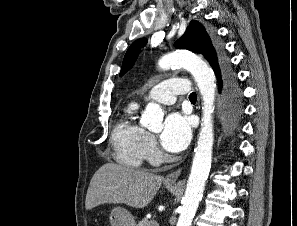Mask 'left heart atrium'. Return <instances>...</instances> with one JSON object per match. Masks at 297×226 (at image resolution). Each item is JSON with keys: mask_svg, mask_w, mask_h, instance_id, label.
I'll return each mask as SVG.
<instances>
[{"mask_svg": "<svg viewBox=\"0 0 297 226\" xmlns=\"http://www.w3.org/2000/svg\"><path fill=\"white\" fill-rule=\"evenodd\" d=\"M161 144L169 152H180L184 150L191 139V127L188 119L174 112L167 116L161 134Z\"/></svg>", "mask_w": 297, "mask_h": 226, "instance_id": "left-heart-atrium-1", "label": "left heart atrium"}]
</instances>
